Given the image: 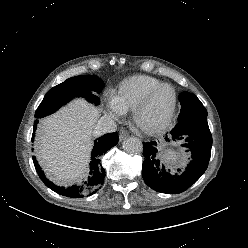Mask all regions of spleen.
<instances>
[{
  "instance_id": "3e777b00",
  "label": "spleen",
  "mask_w": 248,
  "mask_h": 248,
  "mask_svg": "<svg viewBox=\"0 0 248 248\" xmlns=\"http://www.w3.org/2000/svg\"><path fill=\"white\" fill-rule=\"evenodd\" d=\"M184 153L180 150H174V149H167L162 154V162L165 164L172 165H182L185 160Z\"/></svg>"
}]
</instances>
